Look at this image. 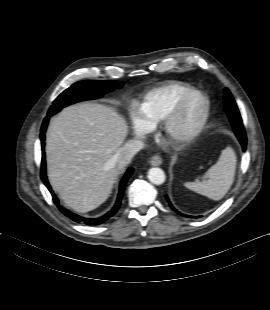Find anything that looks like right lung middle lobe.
Segmentation results:
<instances>
[{"mask_svg":"<svg viewBox=\"0 0 270 310\" xmlns=\"http://www.w3.org/2000/svg\"><path fill=\"white\" fill-rule=\"evenodd\" d=\"M122 86V82L114 80H85L74 83L56 98L53 105L50 107L47 116L54 115L69 104L82 100L100 98L105 93L112 91L116 87L121 88Z\"/></svg>","mask_w":270,"mask_h":310,"instance_id":"1","label":"right lung middle lobe"}]
</instances>
